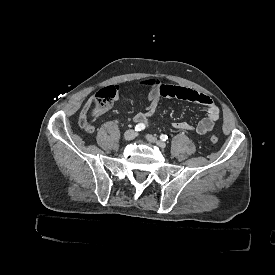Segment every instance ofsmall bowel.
I'll return each mask as SVG.
<instances>
[{
	"instance_id": "small-bowel-1",
	"label": "small bowel",
	"mask_w": 275,
	"mask_h": 275,
	"mask_svg": "<svg viewBox=\"0 0 275 275\" xmlns=\"http://www.w3.org/2000/svg\"><path fill=\"white\" fill-rule=\"evenodd\" d=\"M140 85L148 88L147 105L144 111L138 112L134 116V122L142 125L149 126L150 120L155 114L160 100L164 97H175L182 100L197 102L202 104L207 111L206 116L200 120L196 125L186 121H176L172 124L173 129L177 131H193L199 135H204L214 128L215 123L220 117V109L215 104L213 99L203 93H199L193 89L183 87L162 84L156 77H151ZM94 97H90L83 105L91 110L93 106ZM94 118L99 117L102 112L93 111Z\"/></svg>"
}]
</instances>
